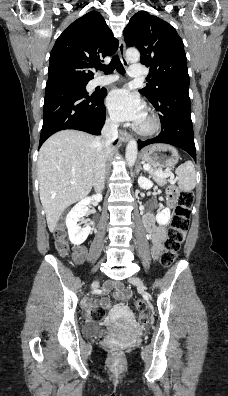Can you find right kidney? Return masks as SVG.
Listing matches in <instances>:
<instances>
[{
  "instance_id": "right-kidney-1",
  "label": "right kidney",
  "mask_w": 228,
  "mask_h": 396,
  "mask_svg": "<svg viewBox=\"0 0 228 396\" xmlns=\"http://www.w3.org/2000/svg\"><path fill=\"white\" fill-rule=\"evenodd\" d=\"M102 200V194L98 193L91 197H86L79 201L68 213L66 217V227L68 229L69 239L72 244L80 245L84 243L88 235L91 232V227L86 224L84 228L79 226L78 222L80 218L86 216L88 212V206L92 202H100Z\"/></svg>"
}]
</instances>
